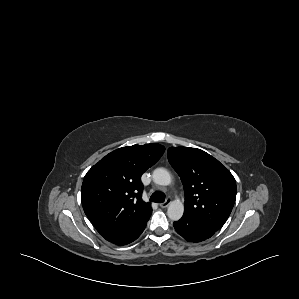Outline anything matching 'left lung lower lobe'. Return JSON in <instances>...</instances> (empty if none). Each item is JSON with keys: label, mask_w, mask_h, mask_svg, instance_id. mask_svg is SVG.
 I'll use <instances>...</instances> for the list:
<instances>
[{"label": "left lung lower lobe", "mask_w": 299, "mask_h": 299, "mask_svg": "<svg viewBox=\"0 0 299 299\" xmlns=\"http://www.w3.org/2000/svg\"><path fill=\"white\" fill-rule=\"evenodd\" d=\"M173 225L177 233L189 242L204 241L215 233L204 225L192 222L187 217H182L179 221L174 222Z\"/></svg>", "instance_id": "left-lung-lower-lobe-1"}]
</instances>
